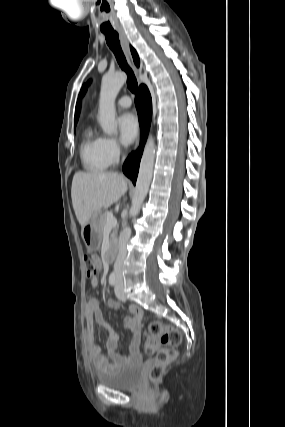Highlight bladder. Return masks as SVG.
Masks as SVG:
<instances>
[{
	"instance_id": "bladder-1",
	"label": "bladder",
	"mask_w": 285,
	"mask_h": 427,
	"mask_svg": "<svg viewBox=\"0 0 285 427\" xmlns=\"http://www.w3.org/2000/svg\"><path fill=\"white\" fill-rule=\"evenodd\" d=\"M97 380L114 389H135L142 380V364L134 363L118 371L100 373L97 375Z\"/></svg>"
}]
</instances>
